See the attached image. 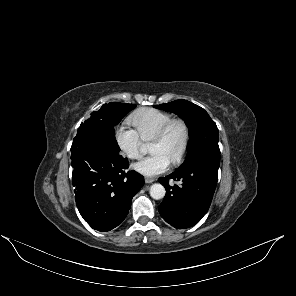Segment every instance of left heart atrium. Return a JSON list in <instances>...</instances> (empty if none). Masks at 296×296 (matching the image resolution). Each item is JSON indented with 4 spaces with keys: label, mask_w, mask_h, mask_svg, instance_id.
<instances>
[{
    "label": "left heart atrium",
    "mask_w": 296,
    "mask_h": 296,
    "mask_svg": "<svg viewBox=\"0 0 296 296\" xmlns=\"http://www.w3.org/2000/svg\"><path fill=\"white\" fill-rule=\"evenodd\" d=\"M171 161L161 152L152 153L140 162L133 165V168L141 174L153 176L166 171Z\"/></svg>",
    "instance_id": "39dd6f15"
}]
</instances>
